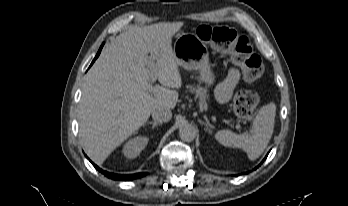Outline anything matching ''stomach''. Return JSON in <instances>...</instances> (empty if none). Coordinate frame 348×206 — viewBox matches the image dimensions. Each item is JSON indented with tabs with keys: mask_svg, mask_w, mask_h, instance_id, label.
Instances as JSON below:
<instances>
[{
	"mask_svg": "<svg viewBox=\"0 0 348 206\" xmlns=\"http://www.w3.org/2000/svg\"><path fill=\"white\" fill-rule=\"evenodd\" d=\"M173 53L179 66L186 70H197L201 82L207 86L213 85L215 77L209 63L208 48L195 34H179Z\"/></svg>",
	"mask_w": 348,
	"mask_h": 206,
	"instance_id": "0dacf381",
	"label": "stomach"
}]
</instances>
